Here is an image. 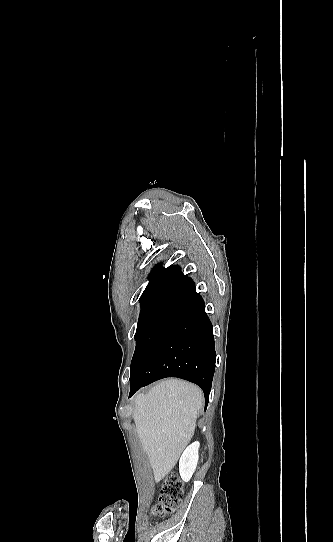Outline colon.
Wrapping results in <instances>:
<instances>
[{"label":"colon","instance_id":"5ec220e1","mask_svg":"<svg viewBox=\"0 0 333 542\" xmlns=\"http://www.w3.org/2000/svg\"><path fill=\"white\" fill-rule=\"evenodd\" d=\"M182 500L183 491L181 482L174 474H169L165 478L159 502L154 508V513L158 516H164L176 510L181 505Z\"/></svg>","mask_w":333,"mask_h":542}]
</instances>
